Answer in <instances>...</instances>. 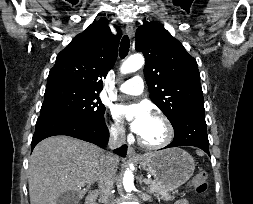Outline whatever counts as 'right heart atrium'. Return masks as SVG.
<instances>
[{"label":"right heart atrium","mask_w":253,"mask_h":204,"mask_svg":"<svg viewBox=\"0 0 253 204\" xmlns=\"http://www.w3.org/2000/svg\"><path fill=\"white\" fill-rule=\"evenodd\" d=\"M109 132L111 136L117 140H122L126 136L124 127L115 119L109 123Z\"/></svg>","instance_id":"d8ad5b80"}]
</instances>
